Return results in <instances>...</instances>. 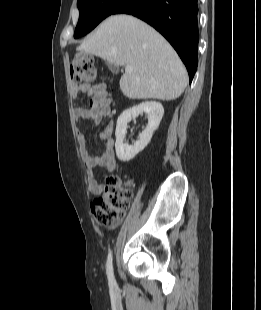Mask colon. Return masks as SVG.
<instances>
[{
  "instance_id": "5ec220e1",
  "label": "colon",
  "mask_w": 261,
  "mask_h": 310,
  "mask_svg": "<svg viewBox=\"0 0 261 310\" xmlns=\"http://www.w3.org/2000/svg\"><path fill=\"white\" fill-rule=\"evenodd\" d=\"M97 76L94 58L90 54L77 53L72 57L70 77L75 85H87ZM130 184L118 176L106 178L104 192L91 203L92 214L99 225L111 229L121 222L132 196Z\"/></svg>"
}]
</instances>
